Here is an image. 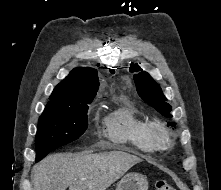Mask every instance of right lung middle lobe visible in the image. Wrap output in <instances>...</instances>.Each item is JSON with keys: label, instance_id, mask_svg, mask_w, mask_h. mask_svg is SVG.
Instances as JSON below:
<instances>
[{"label": "right lung middle lobe", "instance_id": "dd1d6c3e", "mask_svg": "<svg viewBox=\"0 0 221 190\" xmlns=\"http://www.w3.org/2000/svg\"><path fill=\"white\" fill-rule=\"evenodd\" d=\"M93 99L66 108H45L36 134V162L52 150L78 139L87 129L88 104Z\"/></svg>", "mask_w": 221, "mask_h": 190}]
</instances>
